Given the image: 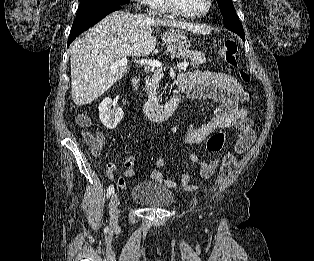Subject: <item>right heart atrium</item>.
I'll return each mask as SVG.
<instances>
[{"mask_svg":"<svg viewBox=\"0 0 314 261\" xmlns=\"http://www.w3.org/2000/svg\"><path fill=\"white\" fill-rule=\"evenodd\" d=\"M139 5L153 8L160 0H135Z\"/></svg>","mask_w":314,"mask_h":261,"instance_id":"1","label":"right heart atrium"}]
</instances>
